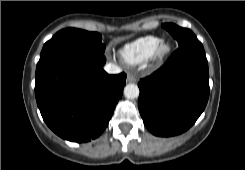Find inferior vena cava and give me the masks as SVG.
<instances>
[{"instance_id":"obj_1","label":"inferior vena cava","mask_w":245,"mask_h":170,"mask_svg":"<svg viewBox=\"0 0 245 170\" xmlns=\"http://www.w3.org/2000/svg\"><path fill=\"white\" fill-rule=\"evenodd\" d=\"M104 70L109 74H118L121 72L120 67L112 63L106 64Z\"/></svg>"}]
</instances>
